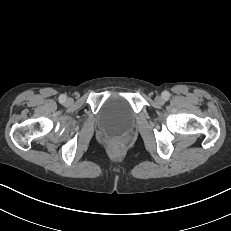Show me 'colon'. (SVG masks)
Returning a JSON list of instances; mask_svg holds the SVG:
<instances>
[{"label": "colon", "mask_w": 231, "mask_h": 231, "mask_svg": "<svg viewBox=\"0 0 231 231\" xmlns=\"http://www.w3.org/2000/svg\"><path fill=\"white\" fill-rule=\"evenodd\" d=\"M123 147H124V144H123V142L120 141V140H113V141L111 142V144H110L111 150H112V151H115V152H116V151L122 150Z\"/></svg>", "instance_id": "colon-1"}]
</instances>
